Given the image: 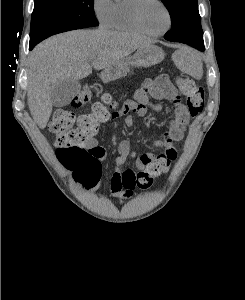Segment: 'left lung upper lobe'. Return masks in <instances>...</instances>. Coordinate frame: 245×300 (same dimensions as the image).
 Returning <instances> with one entry per match:
<instances>
[{
    "label": "left lung upper lobe",
    "instance_id": "1",
    "mask_svg": "<svg viewBox=\"0 0 245 300\" xmlns=\"http://www.w3.org/2000/svg\"><path fill=\"white\" fill-rule=\"evenodd\" d=\"M171 16L172 27L164 36L166 40L189 37L203 33L197 0H161Z\"/></svg>",
    "mask_w": 245,
    "mask_h": 300
}]
</instances>
